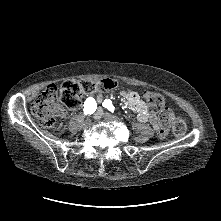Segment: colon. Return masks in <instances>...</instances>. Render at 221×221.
<instances>
[{"instance_id": "1", "label": "colon", "mask_w": 221, "mask_h": 221, "mask_svg": "<svg viewBox=\"0 0 221 221\" xmlns=\"http://www.w3.org/2000/svg\"><path fill=\"white\" fill-rule=\"evenodd\" d=\"M117 82L111 78L99 81L68 80L59 88L50 85L45 88L31 106V112L38 123L45 128L55 126L57 117L62 113V107L76 110L81 105L85 94L110 92L115 89ZM144 98L148 105L159 113L160 130L158 134L164 138L167 134V124L172 120L173 132L181 137L186 133V123L182 118H173L172 112L165 106L163 97L153 91H147Z\"/></svg>"}]
</instances>
